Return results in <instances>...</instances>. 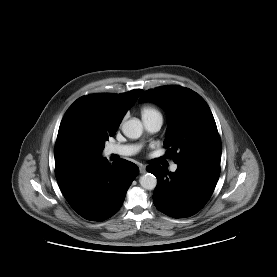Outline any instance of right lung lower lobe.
Wrapping results in <instances>:
<instances>
[{
	"label": "right lung lower lobe",
	"mask_w": 277,
	"mask_h": 277,
	"mask_svg": "<svg viewBox=\"0 0 277 277\" xmlns=\"http://www.w3.org/2000/svg\"><path fill=\"white\" fill-rule=\"evenodd\" d=\"M136 164L122 160L110 165L106 158L56 166L55 175L65 199L80 216L103 221L122 206L126 192L138 175Z\"/></svg>",
	"instance_id": "right-lung-lower-lobe-1"
}]
</instances>
